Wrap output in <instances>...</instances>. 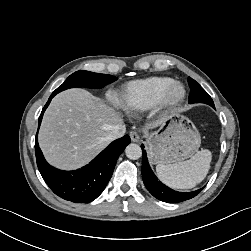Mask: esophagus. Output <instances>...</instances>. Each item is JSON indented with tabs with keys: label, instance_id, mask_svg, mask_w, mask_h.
<instances>
[{
	"label": "esophagus",
	"instance_id": "obj_1",
	"mask_svg": "<svg viewBox=\"0 0 251 251\" xmlns=\"http://www.w3.org/2000/svg\"><path fill=\"white\" fill-rule=\"evenodd\" d=\"M130 137L133 142H138L140 140V134L137 131H132Z\"/></svg>",
	"mask_w": 251,
	"mask_h": 251
}]
</instances>
